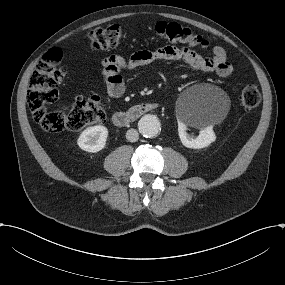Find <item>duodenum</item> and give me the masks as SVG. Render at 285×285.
<instances>
[{
	"instance_id": "410a0bca",
	"label": "duodenum",
	"mask_w": 285,
	"mask_h": 285,
	"mask_svg": "<svg viewBox=\"0 0 285 285\" xmlns=\"http://www.w3.org/2000/svg\"><path fill=\"white\" fill-rule=\"evenodd\" d=\"M158 103L142 102L132 105L125 111H118L113 114L112 121L118 127H127L138 120L145 113L158 109Z\"/></svg>"
}]
</instances>
